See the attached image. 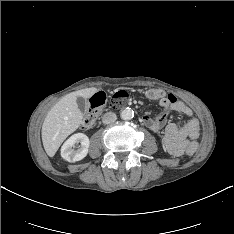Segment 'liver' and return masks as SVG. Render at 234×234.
<instances>
[{"mask_svg": "<svg viewBox=\"0 0 234 234\" xmlns=\"http://www.w3.org/2000/svg\"><path fill=\"white\" fill-rule=\"evenodd\" d=\"M97 88H85L62 97L47 113L42 125V142L50 157L54 156L62 142L82 123L83 114L77 106V97L90 98Z\"/></svg>", "mask_w": 234, "mask_h": 234, "instance_id": "6515ba94", "label": "liver"}]
</instances>
